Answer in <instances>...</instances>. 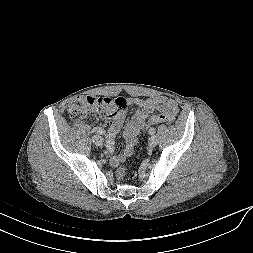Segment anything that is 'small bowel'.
<instances>
[{"instance_id": "obj_1", "label": "small bowel", "mask_w": 253, "mask_h": 253, "mask_svg": "<svg viewBox=\"0 0 253 253\" xmlns=\"http://www.w3.org/2000/svg\"><path fill=\"white\" fill-rule=\"evenodd\" d=\"M127 102L129 105L136 107L137 110L134 117L125 126L123 133V137L126 140L125 148L118 155L110 157V164L112 167L118 166L133 153L139 131L144 129L152 118L160 115H176L179 111L176 101L165 96H156L146 99L130 98ZM155 111H158L159 114L152 116L148 120L150 114ZM124 120L125 112L117 115L108 128L109 135L106 137L105 152L109 155H111L114 150V138L123 127Z\"/></svg>"}]
</instances>
